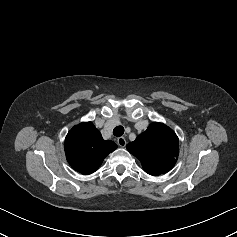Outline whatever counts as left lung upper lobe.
Masks as SVG:
<instances>
[{"instance_id": "1", "label": "left lung upper lobe", "mask_w": 237, "mask_h": 237, "mask_svg": "<svg viewBox=\"0 0 237 237\" xmlns=\"http://www.w3.org/2000/svg\"><path fill=\"white\" fill-rule=\"evenodd\" d=\"M150 175L168 172L176 163L179 141L175 132L165 124L154 122L135 141L126 146Z\"/></svg>"}]
</instances>
